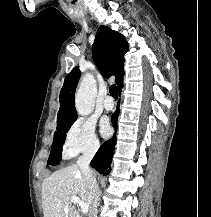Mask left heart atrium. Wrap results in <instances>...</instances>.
I'll use <instances>...</instances> for the list:
<instances>
[{
  "instance_id": "left-heart-atrium-1",
  "label": "left heart atrium",
  "mask_w": 211,
  "mask_h": 217,
  "mask_svg": "<svg viewBox=\"0 0 211 217\" xmlns=\"http://www.w3.org/2000/svg\"><path fill=\"white\" fill-rule=\"evenodd\" d=\"M111 132V128H110V125L108 123V121H103L102 124H101V133L104 137H107L109 136Z\"/></svg>"
}]
</instances>
